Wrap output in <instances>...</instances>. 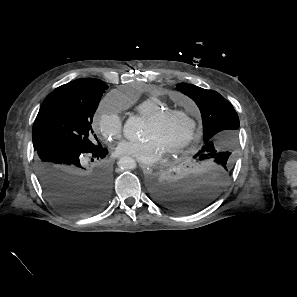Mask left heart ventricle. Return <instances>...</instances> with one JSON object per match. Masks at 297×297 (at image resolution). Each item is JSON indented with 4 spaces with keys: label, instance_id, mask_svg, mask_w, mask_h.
I'll return each instance as SVG.
<instances>
[{
    "label": "left heart ventricle",
    "instance_id": "left-heart-ventricle-1",
    "mask_svg": "<svg viewBox=\"0 0 297 297\" xmlns=\"http://www.w3.org/2000/svg\"><path fill=\"white\" fill-rule=\"evenodd\" d=\"M189 129V122L180 116L169 118L159 125H153L147 120L142 136L155 139L166 152L182 142L188 135Z\"/></svg>",
    "mask_w": 297,
    "mask_h": 297
}]
</instances>
